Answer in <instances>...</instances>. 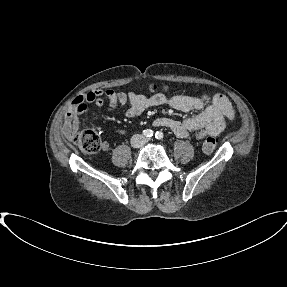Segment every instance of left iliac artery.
<instances>
[{"label":"left iliac artery","instance_id":"1","mask_svg":"<svg viewBox=\"0 0 287 287\" xmlns=\"http://www.w3.org/2000/svg\"><path fill=\"white\" fill-rule=\"evenodd\" d=\"M163 137H164V134H163L161 131H157V132L155 133V138H156V139L161 140V139H163Z\"/></svg>","mask_w":287,"mask_h":287}]
</instances>
